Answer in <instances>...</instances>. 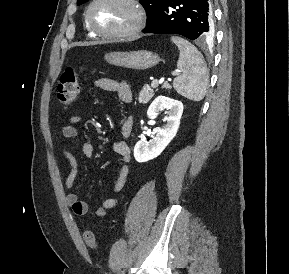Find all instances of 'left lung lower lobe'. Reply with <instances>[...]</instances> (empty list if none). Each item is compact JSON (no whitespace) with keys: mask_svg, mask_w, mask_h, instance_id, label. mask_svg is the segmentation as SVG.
Instances as JSON below:
<instances>
[{"mask_svg":"<svg viewBox=\"0 0 289 274\" xmlns=\"http://www.w3.org/2000/svg\"><path fill=\"white\" fill-rule=\"evenodd\" d=\"M213 32L209 0H165L159 15L143 29L196 41L210 39Z\"/></svg>","mask_w":289,"mask_h":274,"instance_id":"left-lung-lower-lobe-1","label":"left lung lower lobe"}]
</instances>
